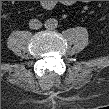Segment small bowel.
Listing matches in <instances>:
<instances>
[{"mask_svg":"<svg viewBox=\"0 0 109 109\" xmlns=\"http://www.w3.org/2000/svg\"><path fill=\"white\" fill-rule=\"evenodd\" d=\"M43 5H44L45 8H48L49 9V8H51L52 3L50 1H46V2H44Z\"/></svg>","mask_w":109,"mask_h":109,"instance_id":"obj_1","label":"small bowel"}]
</instances>
